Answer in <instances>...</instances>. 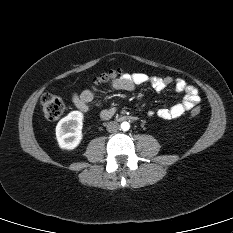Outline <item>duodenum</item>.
I'll use <instances>...</instances> for the list:
<instances>
[{"instance_id":"410a0bca","label":"duodenum","mask_w":233,"mask_h":233,"mask_svg":"<svg viewBox=\"0 0 233 233\" xmlns=\"http://www.w3.org/2000/svg\"><path fill=\"white\" fill-rule=\"evenodd\" d=\"M119 120L120 121H130V120H136V117L135 116H131V115H124V116H121L119 117Z\"/></svg>"}]
</instances>
